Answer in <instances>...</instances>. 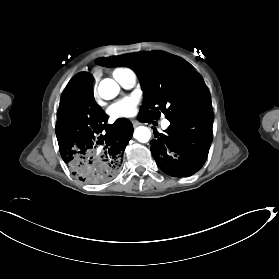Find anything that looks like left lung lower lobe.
<instances>
[{
	"mask_svg": "<svg viewBox=\"0 0 279 279\" xmlns=\"http://www.w3.org/2000/svg\"><path fill=\"white\" fill-rule=\"evenodd\" d=\"M213 112L170 121L165 134L155 131L152 155L159 168L173 177H188L205 163L212 142Z\"/></svg>",
	"mask_w": 279,
	"mask_h": 279,
	"instance_id": "1",
	"label": "left lung lower lobe"
}]
</instances>
